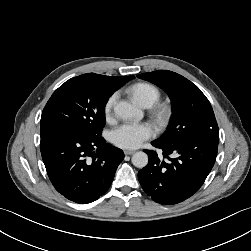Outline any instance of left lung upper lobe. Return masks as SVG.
<instances>
[{
	"label": "left lung upper lobe",
	"instance_id": "left-lung-upper-lobe-1",
	"mask_svg": "<svg viewBox=\"0 0 251 251\" xmlns=\"http://www.w3.org/2000/svg\"><path fill=\"white\" fill-rule=\"evenodd\" d=\"M137 77L163 89L172 101L173 119L168 130L157 141L175 144L193 137L219 138L211 104L195 84L167 70L143 73Z\"/></svg>",
	"mask_w": 251,
	"mask_h": 251
}]
</instances>
